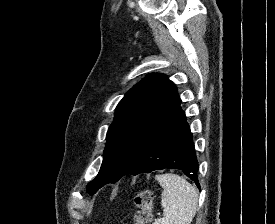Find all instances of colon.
Masks as SVG:
<instances>
[{"label":"colon","mask_w":275,"mask_h":224,"mask_svg":"<svg viewBox=\"0 0 275 224\" xmlns=\"http://www.w3.org/2000/svg\"><path fill=\"white\" fill-rule=\"evenodd\" d=\"M153 194L148 190H140L136 193L134 202L137 207V212L134 216L135 224H148L151 220V207Z\"/></svg>","instance_id":"5ec220e1"}]
</instances>
